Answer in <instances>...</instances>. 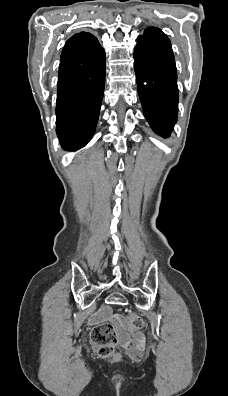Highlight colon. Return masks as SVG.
I'll return each instance as SVG.
<instances>
[{
  "label": "colon",
  "mask_w": 228,
  "mask_h": 396,
  "mask_svg": "<svg viewBox=\"0 0 228 396\" xmlns=\"http://www.w3.org/2000/svg\"><path fill=\"white\" fill-rule=\"evenodd\" d=\"M127 330L134 334L143 327V320L135 314H129L124 319ZM91 344L100 356L110 355L116 344L117 334L111 323L105 322L97 325L90 335Z\"/></svg>",
  "instance_id": "colon-1"
}]
</instances>
